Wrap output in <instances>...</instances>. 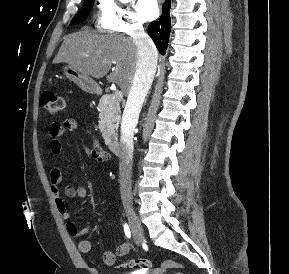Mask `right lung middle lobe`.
Wrapping results in <instances>:
<instances>
[{
	"label": "right lung middle lobe",
	"mask_w": 289,
	"mask_h": 274,
	"mask_svg": "<svg viewBox=\"0 0 289 274\" xmlns=\"http://www.w3.org/2000/svg\"><path fill=\"white\" fill-rule=\"evenodd\" d=\"M93 3H94V0H84V4H83L82 9L72 19L71 24H77V23L84 21L87 18L88 14H89L92 6H93Z\"/></svg>",
	"instance_id": "obj_1"
}]
</instances>
